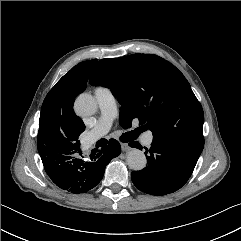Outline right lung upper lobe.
Returning a JSON list of instances; mask_svg holds the SVG:
<instances>
[{"label": "right lung upper lobe", "mask_w": 241, "mask_h": 241, "mask_svg": "<svg viewBox=\"0 0 241 241\" xmlns=\"http://www.w3.org/2000/svg\"><path fill=\"white\" fill-rule=\"evenodd\" d=\"M96 63L97 60L79 63L49 91L41 108L38 148L51 147L57 150L75 142L79 143L78 136L84 131L85 125L75 115L73 101L85 90L89 74Z\"/></svg>", "instance_id": "cb5924a9"}]
</instances>
